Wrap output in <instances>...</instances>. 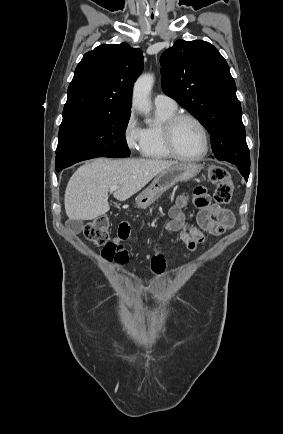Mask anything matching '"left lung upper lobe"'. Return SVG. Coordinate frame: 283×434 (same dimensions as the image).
<instances>
[{
	"mask_svg": "<svg viewBox=\"0 0 283 434\" xmlns=\"http://www.w3.org/2000/svg\"><path fill=\"white\" fill-rule=\"evenodd\" d=\"M162 89L211 134L218 160L250 164L235 81L219 51L203 40H178L160 58Z\"/></svg>",
	"mask_w": 283,
	"mask_h": 434,
	"instance_id": "obj_1",
	"label": "left lung upper lobe"
}]
</instances>
